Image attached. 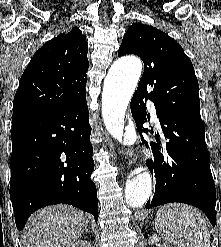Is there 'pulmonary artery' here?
I'll use <instances>...</instances> for the list:
<instances>
[{
    "label": "pulmonary artery",
    "instance_id": "obj_1",
    "mask_svg": "<svg viewBox=\"0 0 221 247\" xmlns=\"http://www.w3.org/2000/svg\"><path fill=\"white\" fill-rule=\"evenodd\" d=\"M148 106L150 108V112L153 116V119L156 121L157 120V112H156V109H155L153 103H149Z\"/></svg>",
    "mask_w": 221,
    "mask_h": 247
}]
</instances>
